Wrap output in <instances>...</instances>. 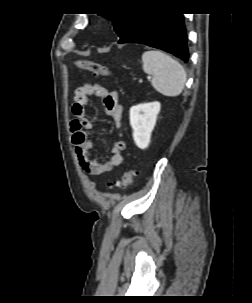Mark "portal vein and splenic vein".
<instances>
[{
	"label": "portal vein and splenic vein",
	"instance_id": "1",
	"mask_svg": "<svg viewBox=\"0 0 252 303\" xmlns=\"http://www.w3.org/2000/svg\"><path fill=\"white\" fill-rule=\"evenodd\" d=\"M147 79H148V80H150V79H151V77L149 76V77H147Z\"/></svg>",
	"mask_w": 252,
	"mask_h": 303
}]
</instances>
